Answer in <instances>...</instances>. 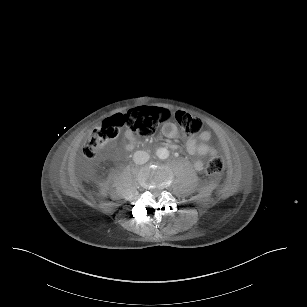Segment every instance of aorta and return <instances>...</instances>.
Here are the masks:
<instances>
[{"label":"aorta","instance_id":"762f6f07","mask_svg":"<svg viewBox=\"0 0 307 307\" xmlns=\"http://www.w3.org/2000/svg\"><path fill=\"white\" fill-rule=\"evenodd\" d=\"M158 158L165 160L169 158L170 156V151L167 148H159L156 152Z\"/></svg>","mask_w":307,"mask_h":307}]
</instances>
